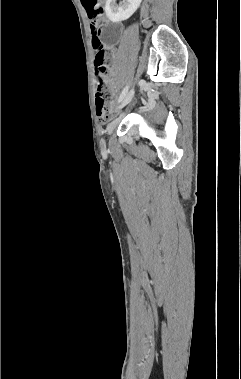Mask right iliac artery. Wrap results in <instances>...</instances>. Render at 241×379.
I'll return each instance as SVG.
<instances>
[{
  "mask_svg": "<svg viewBox=\"0 0 241 379\" xmlns=\"http://www.w3.org/2000/svg\"><path fill=\"white\" fill-rule=\"evenodd\" d=\"M127 92H128V85L123 89L122 93L120 94L118 102L122 101V99L126 96Z\"/></svg>",
  "mask_w": 241,
  "mask_h": 379,
  "instance_id": "82829eb1",
  "label": "right iliac artery"
}]
</instances>
